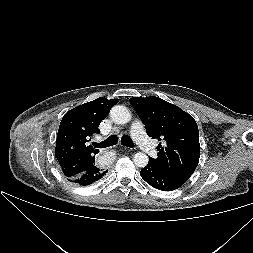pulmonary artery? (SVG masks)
<instances>
[{
	"label": "pulmonary artery",
	"instance_id": "pulmonary-artery-1",
	"mask_svg": "<svg viewBox=\"0 0 253 253\" xmlns=\"http://www.w3.org/2000/svg\"><path fill=\"white\" fill-rule=\"evenodd\" d=\"M131 134L136 143L141 147V149L147 154L154 156L157 151L152 144L151 140L145 134L143 125L139 121L133 122L131 125Z\"/></svg>",
	"mask_w": 253,
	"mask_h": 253
}]
</instances>
